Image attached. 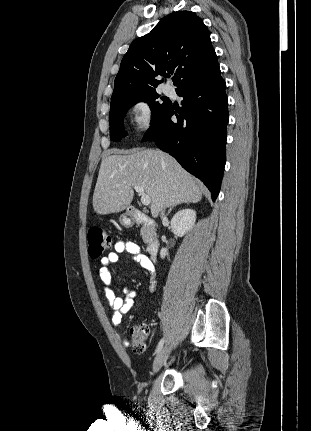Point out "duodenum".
<instances>
[{
	"label": "duodenum",
	"mask_w": 311,
	"mask_h": 431,
	"mask_svg": "<svg viewBox=\"0 0 311 431\" xmlns=\"http://www.w3.org/2000/svg\"><path fill=\"white\" fill-rule=\"evenodd\" d=\"M129 216L131 220L136 224L143 225L146 228L153 227L152 219L146 213H144L138 208L130 207ZM159 248H160V243L155 239H152L147 245L148 253L154 258L158 255Z\"/></svg>",
	"instance_id": "duodenum-1"
}]
</instances>
